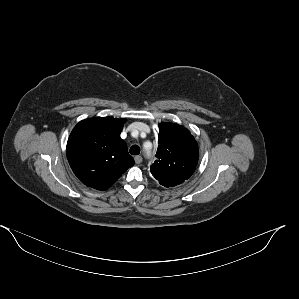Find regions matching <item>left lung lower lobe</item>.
Returning a JSON list of instances; mask_svg holds the SVG:
<instances>
[{"label":"left lung lower lobe","mask_w":299,"mask_h":299,"mask_svg":"<svg viewBox=\"0 0 299 299\" xmlns=\"http://www.w3.org/2000/svg\"><path fill=\"white\" fill-rule=\"evenodd\" d=\"M185 180H171V181H160L159 183L165 187H174L183 183Z\"/></svg>","instance_id":"left-lung-lower-lobe-1"}]
</instances>
